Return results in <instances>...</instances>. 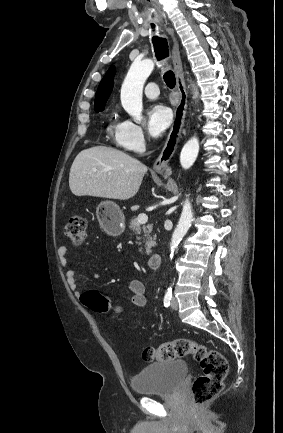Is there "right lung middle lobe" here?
<instances>
[{
  "instance_id": "right-lung-middle-lobe-1",
  "label": "right lung middle lobe",
  "mask_w": 283,
  "mask_h": 433,
  "mask_svg": "<svg viewBox=\"0 0 283 433\" xmlns=\"http://www.w3.org/2000/svg\"><path fill=\"white\" fill-rule=\"evenodd\" d=\"M103 110H104V107H100V108L95 109L96 112H100V111H103Z\"/></svg>"
}]
</instances>
